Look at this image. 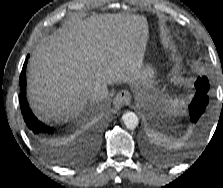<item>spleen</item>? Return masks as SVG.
<instances>
[{"instance_id":"spleen-1","label":"spleen","mask_w":223,"mask_h":188,"mask_svg":"<svg viewBox=\"0 0 223 188\" xmlns=\"http://www.w3.org/2000/svg\"><path fill=\"white\" fill-rule=\"evenodd\" d=\"M185 103L181 100H179L178 98H174V99H170V102L168 104V108L170 110H177L179 109L181 106H183Z\"/></svg>"}]
</instances>
